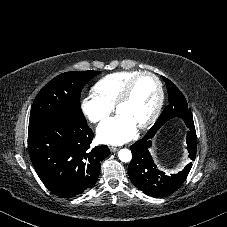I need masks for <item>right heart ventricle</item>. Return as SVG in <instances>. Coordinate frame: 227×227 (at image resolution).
Returning a JSON list of instances; mask_svg holds the SVG:
<instances>
[{
  "label": "right heart ventricle",
  "mask_w": 227,
  "mask_h": 227,
  "mask_svg": "<svg viewBox=\"0 0 227 227\" xmlns=\"http://www.w3.org/2000/svg\"><path fill=\"white\" fill-rule=\"evenodd\" d=\"M137 73L130 70L108 74L94 85L93 93L113 107L127 82Z\"/></svg>",
  "instance_id": "obj_1"
}]
</instances>
